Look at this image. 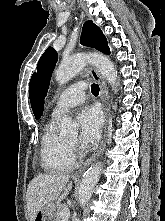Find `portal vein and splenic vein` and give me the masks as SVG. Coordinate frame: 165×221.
<instances>
[{
  "instance_id": "18ae733b",
  "label": "portal vein and splenic vein",
  "mask_w": 165,
  "mask_h": 221,
  "mask_svg": "<svg viewBox=\"0 0 165 221\" xmlns=\"http://www.w3.org/2000/svg\"><path fill=\"white\" fill-rule=\"evenodd\" d=\"M60 214H61L62 221H68L70 212H69V209H68L67 206L63 207V209L61 210Z\"/></svg>"
}]
</instances>
